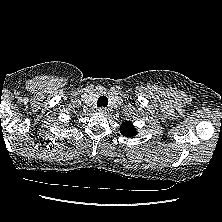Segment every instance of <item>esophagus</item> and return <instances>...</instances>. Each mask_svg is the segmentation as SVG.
Here are the masks:
<instances>
[{
    "mask_svg": "<svg viewBox=\"0 0 222 222\" xmlns=\"http://www.w3.org/2000/svg\"><path fill=\"white\" fill-rule=\"evenodd\" d=\"M98 111H99L100 113H106V112H107V109H106L105 107H100V108L98 109Z\"/></svg>",
    "mask_w": 222,
    "mask_h": 222,
    "instance_id": "obj_1",
    "label": "esophagus"
}]
</instances>
